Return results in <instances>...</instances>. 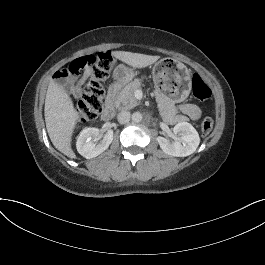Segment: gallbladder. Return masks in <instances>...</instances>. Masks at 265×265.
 Segmentation results:
<instances>
[{
  "label": "gallbladder",
  "instance_id": "gallbladder-1",
  "mask_svg": "<svg viewBox=\"0 0 265 265\" xmlns=\"http://www.w3.org/2000/svg\"><path fill=\"white\" fill-rule=\"evenodd\" d=\"M68 81L72 85L79 86L81 84V82H80V75L77 74V73H69V75H68Z\"/></svg>",
  "mask_w": 265,
  "mask_h": 265
}]
</instances>
